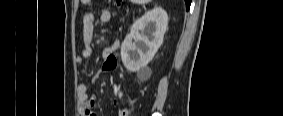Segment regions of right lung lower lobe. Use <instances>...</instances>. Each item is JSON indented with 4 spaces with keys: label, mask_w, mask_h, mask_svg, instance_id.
<instances>
[{
    "label": "right lung lower lobe",
    "mask_w": 283,
    "mask_h": 116,
    "mask_svg": "<svg viewBox=\"0 0 283 116\" xmlns=\"http://www.w3.org/2000/svg\"><path fill=\"white\" fill-rule=\"evenodd\" d=\"M185 3H186V9L189 10L190 4H191V0H185Z\"/></svg>",
    "instance_id": "right-lung-lower-lobe-1"
}]
</instances>
